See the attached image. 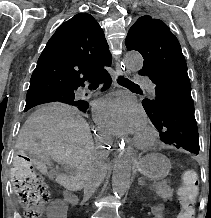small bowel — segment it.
<instances>
[{
  "instance_id": "1",
  "label": "small bowel",
  "mask_w": 211,
  "mask_h": 218,
  "mask_svg": "<svg viewBox=\"0 0 211 218\" xmlns=\"http://www.w3.org/2000/svg\"><path fill=\"white\" fill-rule=\"evenodd\" d=\"M59 213L55 211L54 207H51L49 210V216L54 217L57 216ZM151 215L153 218H164V207L162 205H155L152 207Z\"/></svg>"
}]
</instances>
